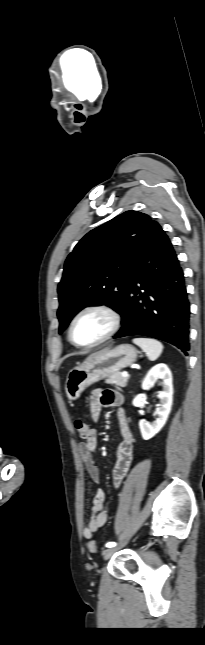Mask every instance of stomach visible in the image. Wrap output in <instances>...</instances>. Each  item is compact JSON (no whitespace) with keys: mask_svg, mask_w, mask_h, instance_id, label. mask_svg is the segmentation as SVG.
I'll use <instances>...</instances> for the list:
<instances>
[{"mask_svg":"<svg viewBox=\"0 0 205 645\" xmlns=\"http://www.w3.org/2000/svg\"><path fill=\"white\" fill-rule=\"evenodd\" d=\"M137 354L138 351L132 345L121 344L93 355L82 366L68 372L65 382L67 398L70 401L78 399L90 385L133 364Z\"/></svg>","mask_w":205,"mask_h":645,"instance_id":"1","label":"stomach"}]
</instances>
